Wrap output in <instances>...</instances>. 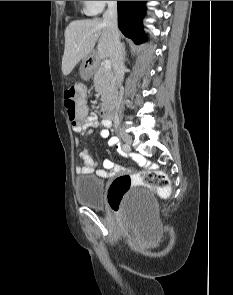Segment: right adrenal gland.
I'll use <instances>...</instances> for the list:
<instances>
[{
    "label": "right adrenal gland",
    "instance_id": "right-adrenal-gland-1",
    "mask_svg": "<svg viewBox=\"0 0 233 295\" xmlns=\"http://www.w3.org/2000/svg\"><path fill=\"white\" fill-rule=\"evenodd\" d=\"M122 51H123V59L126 60V47L125 44L122 45Z\"/></svg>",
    "mask_w": 233,
    "mask_h": 295
}]
</instances>
